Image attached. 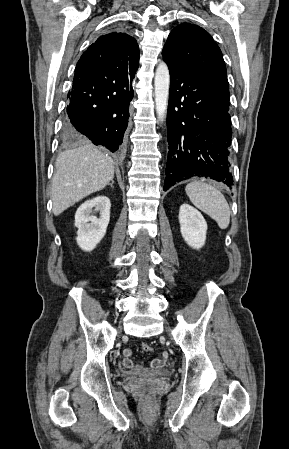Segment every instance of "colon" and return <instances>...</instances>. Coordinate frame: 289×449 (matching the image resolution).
<instances>
[{
  "label": "colon",
  "instance_id": "5ec220e1",
  "mask_svg": "<svg viewBox=\"0 0 289 449\" xmlns=\"http://www.w3.org/2000/svg\"><path fill=\"white\" fill-rule=\"evenodd\" d=\"M142 348L144 351L146 352H151L153 350L152 346L148 343H143L142 344ZM161 357V356H160Z\"/></svg>",
  "mask_w": 289,
  "mask_h": 449
}]
</instances>
